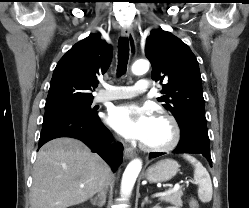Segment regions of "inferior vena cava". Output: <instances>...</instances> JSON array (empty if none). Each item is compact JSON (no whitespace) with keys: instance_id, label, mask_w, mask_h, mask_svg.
<instances>
[{"instance_id":"obj_1","label":"inferior vena cava","mask_w":249,"mask_h":208,"mask_svg":"<svg viewBox=\"0 0 249 208\" xmlns=\"http://www.w3.org/2000/svg\"><path fill=\"white\" fill-rule=\"evenodd\" d=\"M108 185H109V179L107 178L99 188L100 196L104 197L105 195L104 189L106 190L108 188Z\"/></svg>"}]
</instances>
